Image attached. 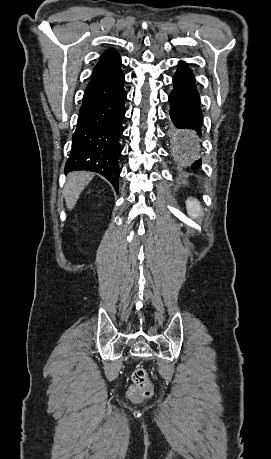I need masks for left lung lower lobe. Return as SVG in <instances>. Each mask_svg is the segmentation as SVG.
<instances>
[{
  "label": "left lung lower lobe",
  "mask_w": 271,
  "mask_h": 459,
  "mask_svg": "<svg viewBox=\"0 0 271 459\" xmlns=\"http://www.w3.org/2000/svg\"><path fill=\"white\" fill-rule=\"evenodd\" d=\"M174 89L169 95L170 117L177 128L195 129L200 133L202 112L199 93L196 88L194 73L190 65L179 61L178 69L173 76ZM201 165L197 161L192 165L194 170Z\"/></svg>",
  "instance_id": "left-lung-lower-lobe-1"
}]
</instances>
